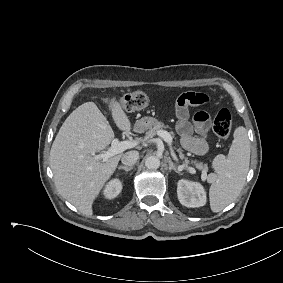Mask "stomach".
Masks as SVG:
<instances>
[{
  "instance_id": "obj_1",
  "label": "stomach",
  "mask_w": 283,
  "mask_h": 283,
  "mask_svg": "<svg viewBox=\"0 0 283 283\" xmlns=\"http://www.w3.org/2000/svg\"><path fill=\"white\" fill-rule=\"evenodd\" d=\"M157 122H158V120L156 118L143 117V118L136 121L134 129L137 132H143L147 129L152 128Z\"/></svg>"
}]
</instances>
